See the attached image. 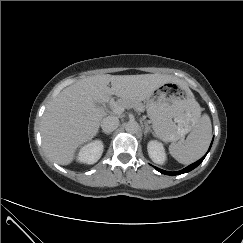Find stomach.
I'll use <instances>...</instances> for the list:
<instances>
[{
    "mask_svg": "<svg viewBox=\"0 0 243 243\" xmlns=\"http://www.w3.org/2000/svg\"><path fill=\"white\" fill-rule=\"evenodd\" d=\"M154 134L165 142L182 139L196 124L197 102L187 87L164 84L147 100Z\"/></svg>",
    "mask_w": 243,
    "mask_h": 243,
    "instance_id": "obj_1",
    "label": "stomach"
}]
</instances>
